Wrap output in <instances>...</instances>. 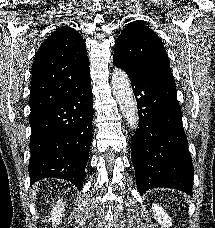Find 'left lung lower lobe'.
<instances>
[{
	"label": "left lung lower lobe",
	"mask_w": 215,
	"mask_h": 228,
	"mask_svg": "<svg viewBox=\"0 0 215 228\" xmlns=\"http://www.w3.org/2000/svg\"><path fill=\"white\" fill-rule=\"evenodd\" d=\"M113 63L127 73L137 101L131 157L139 193L164 187L192 195L194 169L172 74H137Z\"/></svg>",
	"instance_id": "obj_1"
}]
</instances>
